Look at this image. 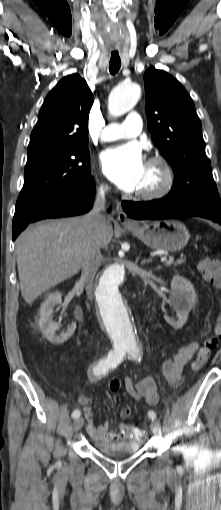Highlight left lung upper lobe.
Segmentation results:
<instances>
[{
  "label": "left lung upper lobe",
  "instance_id": "1",
  "mask_svg": "<svg viewBox=\"0 0 221 510\" xmlns=\"http://www.w3.org/2000/svg\"><path fill=\"white\" fill-rule=\"evenodd\" d=\"M146 115L152 140L173 168L170 201L220 203L202 127L185 88L155 68L144 74Z\"/></svg>",
  "mask_w": 221,
  "mask_h": 510
}]
</instances>
